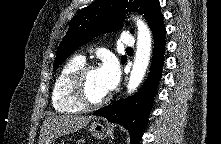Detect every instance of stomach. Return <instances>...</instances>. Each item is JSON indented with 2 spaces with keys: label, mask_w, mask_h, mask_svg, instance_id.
Instances as JSON below:
<instances>
[{
  "label": "stomach",
  "mask_w": 221,
  "mask_h": 144,
  "mask_svg": "<svg viewBox=\"0 0 221 144\" xmlns=\"http://www.w3.org/2000/svg\"><path fill=\"white\" fill-rule=\"evenodd\" d=\"M89 131L97 139H105L111 132L110 127L99 122H93L89 126Z\"/></svg>",
  "instance_id": "stomach-1"
}]
</instances>
